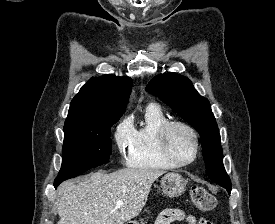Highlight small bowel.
I'll list each match as a JSON object with an SVG mask.
<instances>
[{
	"label": "small bowel",
	"mask_w": 275,
	"mask_h": 224,
	"mask_svg": "<svg viewBox=\"0 0 275 224\" xmlns=\"http://www.w3.org/2000/svg\"><path fill=\"white\" fill-rule=\"evenodd\" d=\"M185 222L187 224H211L209 220L206 218H196L192 214H187L180 209H164L162 210L155 224H173L174 222Z\"/></svg>",
	"instance_id": "c3829d8e"
}]
</instances>
